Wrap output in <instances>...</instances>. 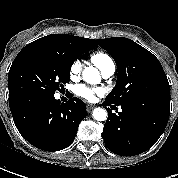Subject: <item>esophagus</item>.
<instances>
[{
	"label": "esophagus",
	"instance_id": "obj_1",
	"mask_svg": "<svg viewBox=\"0 0 178 178\" xmlns=\"http://www.w3.org/2000/svg\"><path fill=\"white\" fill-rule=\"evenodd\" d=\"M94 107H95V105H93V104H89V103L86 104L87 112L90 113L93 110Z\"/></svg>",
	"mask_w": 178,
	"mask_h": 178
}]
</instances>
